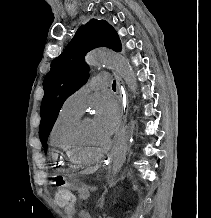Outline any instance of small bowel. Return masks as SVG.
Segmentation results:
<instances>
[{
    "label": "small bowel",
    "instance_id": "c3829d8e",
    "mask_svg": "<svg viewBox=\"0 0 211 218\" xmlns=\"http://www.w3.org/2000/svg\"><path fill=\"white\" fill-rule=\"evenodd\" d=\"M73 210H74V208H73V207H69V208H67V213H72V212H73Z\"/></svg>",
    "mask_w": 211,
    "mask_h": 218
}]
</instances>
